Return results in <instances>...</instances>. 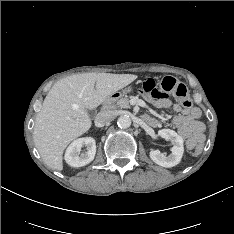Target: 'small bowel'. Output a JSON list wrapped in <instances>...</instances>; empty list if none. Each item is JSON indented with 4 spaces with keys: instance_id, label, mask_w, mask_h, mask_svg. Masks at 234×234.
Masks as SVG:
<instances>
[{
    "instance_id": "small-bowel-1",
    "label": "small bowel",
    "mask_w": 234,
    "mask_h": 234,
    "mask_svg": "<svg viewBox=\"0 0 234 234\" xmlns=\"http://www.w3.org/2000/svg\"><path fill=\"white\" fill-rule=\"evenodd\" d=\"M143 96L158 109L172 108L174 110L176 115L170 120V124L177 128L181 136L187 140L189 148L203 140L205 125L199 120L201 111L198 108H184L179 104L172 103L166 97L155 98L145 93ZM145 120L152 127L159 125V121L154 117L146 115Z\"/></svg>"
}]
</instances>
